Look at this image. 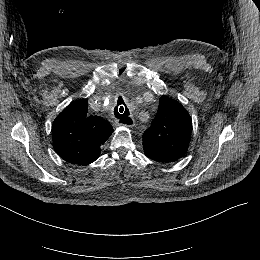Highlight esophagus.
<instances>
[{
  "instance_id": "34e87169",
  "label": "esophagus",
  "mask_w": 260,
  "mask_h": 260,
  "mask_svg": "<svg viewBox=\"0 0 260 260\" xmlns=\"http://www.w3.org/2000/svg\"><path fill=\"white\" fill-rule=\"evenodd\" d=\"M134 123H135V121H134V119H133V117H130V120H127L126 121V124H123V126H126V127H133L134 126Z\"/></svg>"
}]
</instances>
